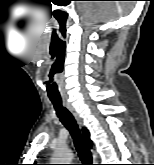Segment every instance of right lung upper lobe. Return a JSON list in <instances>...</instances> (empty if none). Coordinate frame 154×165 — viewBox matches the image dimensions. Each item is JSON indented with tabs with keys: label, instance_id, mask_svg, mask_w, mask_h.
<instances>
[{
	"label": "right lung upper lobe",
	"instance_id": "right-lung-upper-lobe-1",
	"mask_svg": "<svg viewBox=\"0 0 154 165\" xmlns=\"http://www.w3.org/2000/svg\"><path fill=\"white\" fill-rule=\"evenodd\" d=\"M83 135H84V138H85L87 144L91 146L92 141L90 140L89 132L85 128L83 129Z\"/></svg>",
	"mask_w": 154,
	"mask_h": 165
}]
</instances>
